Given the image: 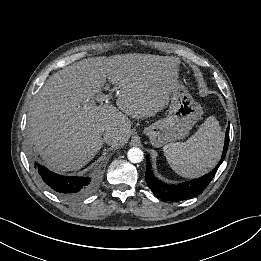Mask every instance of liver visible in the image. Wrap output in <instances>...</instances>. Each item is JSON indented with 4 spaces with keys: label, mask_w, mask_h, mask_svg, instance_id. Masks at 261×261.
I'll return each instance as SVG.
<instances>
[{
    "label": "liver",
    "mask_w": 261,
    "mask_h": 261,
    "mask_svg": "<svg viewBox=\"0 0 261 261\" xmlns=\"http://www.w3.org/2000/svg\"><path fill=\"white\" fill-rule=\"evenodd\" d=\"M179 61L172 56L117 54L83 59L50 76L28 112L30 142L53 170L74 171L91 161L108 143H126L128 118L155 116L169 101L179 80ZM106 80L114 85L116 104L96 105Z\"/></svg>",
    "instance_id": "obj_1"
}]
</instances>
